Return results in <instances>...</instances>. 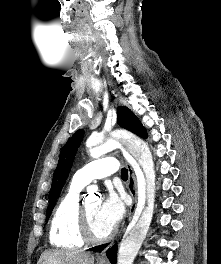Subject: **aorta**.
<instances>
[{"instance_id":"aorta-1","label":"aorta","mask_w":221,"mask_h":264,"mask_svg":"<svg viewBox=\"0 0 221 264\" xmlns=\"http://www.w3.org/2000/svg\"><path fill=\"white\" fill-rule=\"evenodd\" d=\"M118 139L123 141L127 151L137 160L144 174V180L138 182V191L139 194L145 196L146 206L140 216L129 224L122 239L117 258V264H133L152 221L156 175L151 151L144 141L133 136H120ZM114 145L115 142L113 140L104 141L102 136H98L91 141L90 156L99 158L109 152Z\"/></svg>"}]
</instances>
